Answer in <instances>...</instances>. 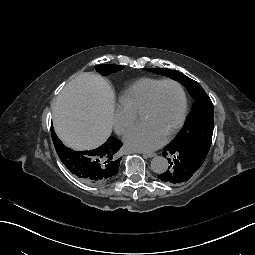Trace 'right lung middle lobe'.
Segmentation results:
<instances>
[{
  "instance_id": "dd1d6c3e",
  "label": "right lung middle lobe",
  "mask_w": 255,
  "mask_h": 255,
  "mask_svg": "<svg viewBox=\"0 0 255 255\" xmlns=\"http://www.w3.org/2000/svg\"><path fill=\"white\" fill-rule=\"evenodd\" d=\"M124 68V66L118 65H98L96 70L102 75H109L110 73H114L120 71Z\"/></svg>"
}]
</instances>
